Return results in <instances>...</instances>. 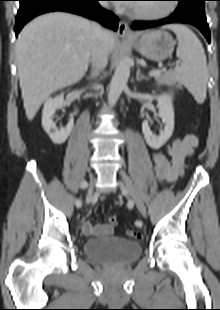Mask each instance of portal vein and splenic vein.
<instances>
[{
  "mask_svg": "<svg viewBox=\"0 0 220 310\" xmlns=\"http://www.w3.org/2000/svg\"><path fill=\"white\" fill-rule=\"evenodd\" d=\"M162 71H163V70H152V71L149 73V76H158V75H161V74H162Z\"/></svg>",
  "mask_w": 220,
  "mask_h": 310,
  "instance_id": "18ae733b",
  "label": "portal vein and splenic vein"
}]
</instances>
